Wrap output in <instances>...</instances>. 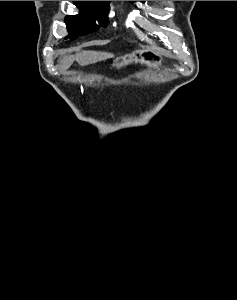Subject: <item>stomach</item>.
Listing matches in <instances>:
<instances>
[{
  "instance_id": "stomach-1",
  "label": "stomach",
  "mask_w": 237,
  "mask_h": 300,
  "mask_svg": "<svg viewBox=\"0 0 237 300\" xmlns=\"http://www.w3.org/2000/svg\"><path fill=\"white\" fill-rule=\"evenodd\" d=\"M163 61L162 55L156 53V51H152V49H137V51H133L130 55L114 59L112 67L121 69L124 65H129V63H141V65H146L149 69H157V67L162 65Z\"/></svg>"
}]
</instances>
